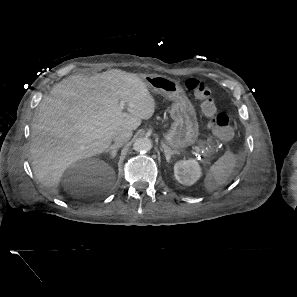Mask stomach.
Wrapping results in <instances>:
<instances>
[{
  "instance_id": "obj_1",
  "label": "stomach",
  "mask_w": 297,
  "mask_h": 297,
  "mask_svg": "<svg viewBox=\"0 0 297 297\" xmlns=\"http://www.w3.org/2000/svg\"><path fill=\"white\" fill-rule=\"evenodd\" d=\"M145 83L155 93L173 101L170 116L173 123L164 133L167 145L178 153L182 148L193 146L199 136V124L194 106L185 95L181 85L174 79L161 75H148Z\"/></svg>"
}]
</instances>
